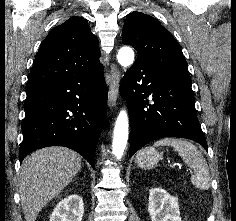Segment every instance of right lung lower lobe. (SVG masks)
Wrapping results in <instances>:
<instances>
[{
	"instance_id": "1",
	"label": "right lung lower lobe",
	"mask_w": 236,
	"mask_h": 221,
	"mask_svg": "<svg viewBox=\"0 0 236 221\" xmlns=\"http://www.w3.org/2000/svg\"><path fill=\"white\" fill-rule=\"evenodd\" d=\"M20 162L31 152L64 146L94 168V154L107 109L103 71L67 77L26 89Z\"/></svg>"
}]
</instances>
